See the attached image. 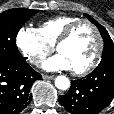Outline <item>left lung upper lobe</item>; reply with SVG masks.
<instances>
[{
	"label": "left lung upper lobe",
	"instance_id": "left-lung-upper-lobe-1",
	"mask_svg": "<svg viewBox=\"0 0 114 114\" xmlns=\"http://www.w3.org/2000/svg\"><path fill=\"white\" fill-rule=\"evenodd\" d=\"M85 16L97 26L104 40L103 54H102V59L100 61L99 66L114 64V43L112 39L110 38L108 32L103 26H101L97 21H95L91 16L87 14H85Z\"/></svg>",
	"mask_w": 114,
	"mask_h": 114
}]
</instances>
